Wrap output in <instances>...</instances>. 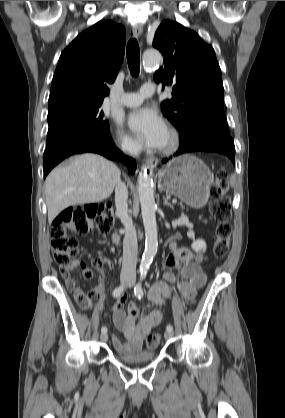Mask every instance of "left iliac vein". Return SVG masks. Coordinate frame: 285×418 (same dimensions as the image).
<instances>
[{
    "mask_svg": "<svg viewBox=\"0 0 285 418\" xmlns=\"http://www.w3.org/2000/svg\"><path fill=\"white\" fill-rule=\"evenodd\" d=\"M134 284H135V280L134 279H130L128 281V284L127 285H128V287H132ZM164 336H165L166 339H170V338L173 337V332L172 331H166Z\"/></svg>",
    "mask_w": 285,
    "mask_h": 418,
    "instance_id": "4c4485c4",
    "label": "left iliac vein"
}]
</instances>
